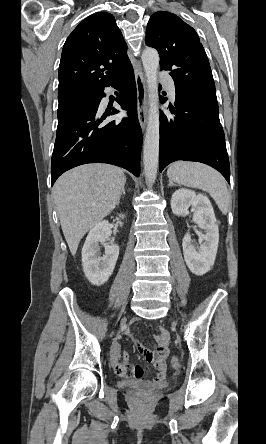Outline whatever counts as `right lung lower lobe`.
<instances>
[{
  "label": "right lung lower lobe",
  "mask_w": 266,
  "mask_h": 444,
  "mask_svg": "<svg viewBox=\"0 0 266 444\" xmlns=\"http://www.w3.org/2000/svg\"><path fill=\"white\" fill-rule=\"evenodd\" d=\"M118 89L116 101L128 111L121 121L104 122L115 108L101 116L104 88ZM97 92L95 100L58 122L51 161V185L65 171L86 163H108L140 175L142 131L137 116V93L133 67L125 66L116 77Z\"/></svg>",
  "instance_id": "obj_1"
}]
</instances>
